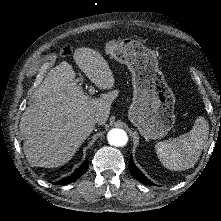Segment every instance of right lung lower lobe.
I'll return each mask as SVG.
<instances>
[{"label":"right lung lower lobe","mask_w":221,"mask_h":221,"mask_svg":"<svg viewBox=\"0 0 221 221\" xmlns=\"http://www.w3.org/2000/svg\"><path fill=\"white\" fill-rule=\"evenodd\" d=\"M88 162H85L81 167H79L72 175L55 182V185H66L75 180H77L81 175H83L88 169Z\"/></svg>","instance_id":"1"}]
</instances>
